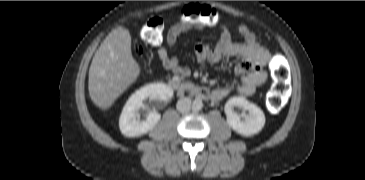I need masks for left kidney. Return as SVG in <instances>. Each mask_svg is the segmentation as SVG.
<instances>
[{
  "label": "left kidney",
  "mask_w": 365,
  "mask_h": 180,
  "mask_svg": "<svg viewBox=\"0 0 365 180\" xmlns=\"http://www.w3.org/2000/svg\"><path fill=\"white\" fill-rule=\"evenodd\" d=\"M235 106L248 111V114L238 115L233 111V107ZM225 113L228 125L234 131L244 136L259 133L265 124L263 111L255 104L247 101L244 97L230 98L225 105Z\"/></svg>",
  "instance_id": "obj_1"
}]
</instances>
